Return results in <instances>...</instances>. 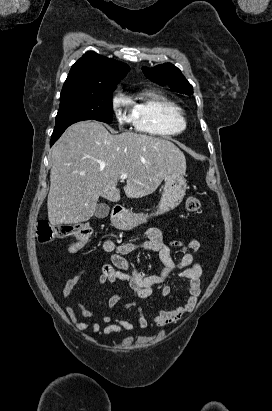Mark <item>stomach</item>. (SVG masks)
I'll return each instance as SVG.
<instances>
[{"label":"stomach","mask_w":272,"mask_h":411,"mask_svg":"<svg viewBox=\"0 0 272 411\" xmlns=\"http://www.w3.org/2000/svg\"><path fill=\"white\" fill-rule=\"evenodd\" d=\"M164 181L165 184L158 210L152 215H160L173 210L182 202L185 196L187 185L182 174L170 172ZM147 217L143 213L135 214L129 210H124L121 214L113 216L111 221L116 228L127 231L145 223Z\"/></svg>","instance_id":"obj_1"}]
</instances>
